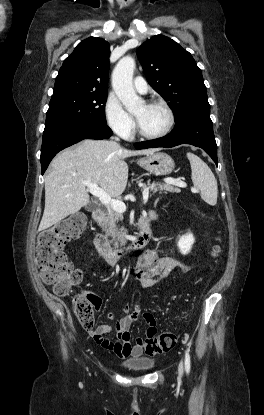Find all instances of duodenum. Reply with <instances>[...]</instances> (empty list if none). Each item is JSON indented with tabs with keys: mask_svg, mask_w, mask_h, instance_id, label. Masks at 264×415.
I'll list each match as a JSON object with an SVG mask.
<instances>
[{
	"mask_svg": "<svg viewBox=\"0 0 264 415\" xmlns=\"http://www.w3.org/2000/svg\"><path fill=\"white\" fill-rule=\"evenodd\" d=\"M105 219L106 211L102 205L92 211L95 248L99 256L110 266L120 264L128 254L146 245L152 237L149 227L150 221L147 217L142 216L138 222L136 235L125 239L117 249H113L103 232Z\"/></svg>",
	"mask_w": 264,
	"mask_h": 415,
	"instance_id": "1",
	"label": "duodenum"
}]
</instances>
